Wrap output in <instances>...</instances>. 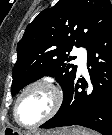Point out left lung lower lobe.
Returning <instances> with one entry per match:
<instances>
[{"label":"left lung lower lobe","instance_id":"obj_1","mask_svg":"<svg viewBox=\"0 0 112 135\" xmlns=\"http://www.w3.org/2000/svg\"><path fill=\"white\" fill-rule=\"evenodd\" d=\"M87 68L89 81L75 75L59 111L40 128L80 125L112 135V23L88 49Z\"/></svg>","mask_w":112,"mask_h":135}]
</instances>
